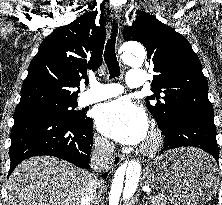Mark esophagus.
<instances>
[{"label":"esophagus","instance_id":"obj_1","mask_svg":"<svg viewBox=\"0 0 222 205\" xmlns=\"http://www.w3.org/2000/svg\"><path fill=\"white\" fill-rule=\"evenodd\" d=\"M111 17L113 20L119 21L122 17V13H121V9L120 7H113L112 11H111ZM124 160V156H122L121 154H116L113 157V163L115 165L120 164L122 161Z\"/></svg>","mask_w":222,"mask_h":205}]
</instances>
